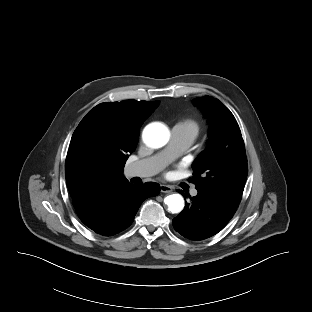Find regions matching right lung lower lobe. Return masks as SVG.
<instances>
[{"mask_svg": "<svg viewBox=\"0 0 312 312\" xmlns=\"http://www.w3.org/2000/svg\"><path fill=\"white\" fill-rule=\"evenodd\" d=\"M159 192L160 186L157 183L149 182L138 186L126 182L92 217L82 222L100 235L117 234L132 224L142 202L148 197L158 195Z\"/></svg>", "mask_w": 312, "mask_h": 312, "instance_id": "obj_1", "label": "right lung lower lobe"}]
</instances>
